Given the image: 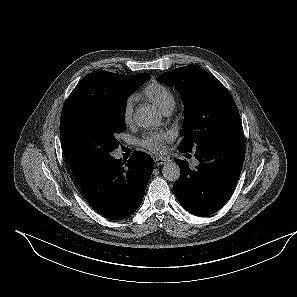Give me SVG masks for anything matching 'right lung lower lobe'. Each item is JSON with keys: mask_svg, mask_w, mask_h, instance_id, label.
Wrapping results in <instances>:
<instances>
[{"mask_svg": "<svg viewBox=\"0 0 297 297\" xmlns=\"http://www.w3.org/2000/svg\"><path fill=\"white\" fill-rule=\"evenodd\" d=\"M153 168V159L144 152H135L123 162L111 157L92 168L79 186L95 211L121 220L140 206Z\"/></svg>", "mask_w": 297, "mask_h": 297, "instance_id": "98d812e1", "label": "right lung lower lobe"}]
</instances>
